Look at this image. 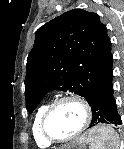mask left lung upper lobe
Listing matches in <instances>:
<instances>
[{"mask_svg": "<svg viewBox=\"0 0 124 149\" xmlns=\"http://www.w3.org/2000/svg\"><path fill=\"white\" fill-rule=\"evenodd\" d=\"M35 34L25 77L29 113L50 90L74 92L85 98L112 74L111 41L96 13L73 9L52 19Z\"/></svg>", "mask_w": 124, "mask_h": 149, "instance_id": "left-lung-upper-lobe-1", "label": "left lung upper lobe"}]
</instances>
